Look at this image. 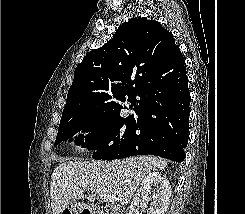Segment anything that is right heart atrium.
Masks as SVG:
<instances>
[{"label":"right heart atrium","mask_w":245,"mask_h":214,"mask_svg":"<svg viewBox=\"0 0 245 214\" xmlns=\"http://www.w3.org/2000/svg\"><path fill=\"white\" fill-rule=\"evenodd\" d=\"M77 135L82 138H87L90 136V131L88 129L83 128L77 132Z\"/></svg>","instance_id":"1"}]
</instances>
